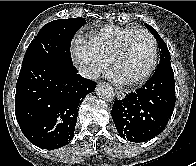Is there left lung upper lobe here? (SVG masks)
Returning a JSON list of instances; mask_svg holds the SVG:
<instances>
[{
    "instance_id": "1",
    "label": "left lung upper lobe",
    "mask_w": 196,
    "mask_h": 166,
    "mask_svg": "<svg viewBox=\"0 0 196 166\" xmlns=\"http://www.w3.org/2000/svg\"><path fill=\"white\" fill-rule=\"evenodd\" d=\"M146 26L154 34L157 40V43L160 49V61L170 60L171 59L170 53L163 39H161V37L159 36V34L156 32V30L153 27H151L148 24H146Z\"/></svg>"
}]
</instances>
